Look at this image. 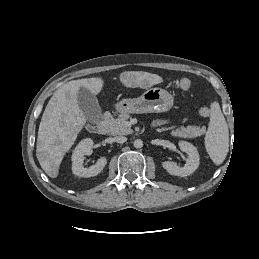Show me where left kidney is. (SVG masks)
I'll use <instances>...</instances> for the list:
<instances>
[{"label": "left kidney", "instance_id": "obj_1", "mask_svg": "<svg viewBox=\"0 0 259 259\" xmlns=\"http://www.w3.org/2000/svg\"><path fill=\"white\" fill-rule=\"evenodd\" d=\"M179 147L188 155L186 164L183 167H180L174 162L164 161L162 162V166L171 175L185 177L195 172L198 168L199 154L196 147L189 142L180 141Z\"/></svg>", "mask_w": 259, "mask_h": 259}]
</instances>
